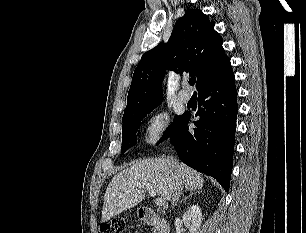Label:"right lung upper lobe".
<instances>
[{"instance_id": "1", "label": "right lung upper lobe", "mask_w": 306, "mask_h": 233, "mask_svg": "<svg viewBox=\"0 0 306 233\" xmlns=\"http://www.w3.org/2000/svg\"><path fill=\"white\" fill-rule=\"evenodd\" d=\"M214 22L198 9H187L175 24L167 43H160L141 57L128 92L124 116L162 102V81L166 69L197 77L196 88L231 69Z\"/></svg>"}]
</instances>
